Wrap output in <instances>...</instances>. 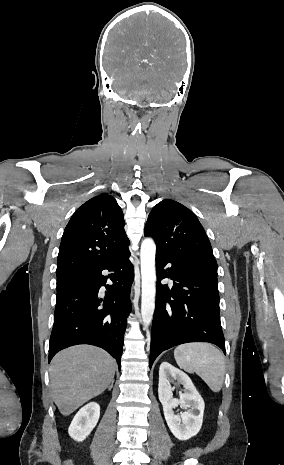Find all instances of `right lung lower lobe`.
I'll return each mask as SVG.
<instances>
[{"label": "right lung lower lobe", "mask_w": 284, "mask_h": 465, "mask_svg": "<svg viewBox=\"0 0 284 465\" xmlns=\"http://www.w3.org/2000/svg\"><path fill=\"white\" fill-rule=\"evenodd\" d=\"M128 247L94 269L57 281L54 325L49 343V362L60 350L91 344L112 355L120 370L126 319L131 311L134 279ZM103 270L111 272L108 276ZM113 285H106L107 279ZM107 291L102 299L99 291Z\"/></svg>", "instance_id": "98d812e1"}]
</instances>
